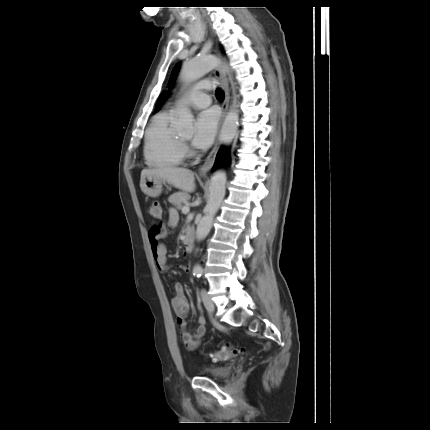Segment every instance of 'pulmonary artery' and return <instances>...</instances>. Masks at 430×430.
Here are the masks:
<instances>
[{"label":"pulmonary artery","instance_id":"obj_1","mask_svg":"<svg viewBox=\"0 0 430 430\" xmlns=\"http://www.w3.org/2000/svg\"><path fill=\"white\" fill-rule=\"evenodd\" d=\"M211 87V83L207 80L198 82L182 100L178 101L177 105L186 104L197 109L206 108L211 103L210 96L207 94Z\"/></svg>","mask_w":430,"mask_h":430}]
</instances>
